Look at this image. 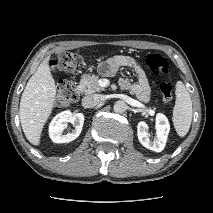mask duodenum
<instances>
[{
	"label": "duodenum",
	"mask_w": 213,
	"mask_h": 213,
	"mask_svg": "<svg viewBox=\"0 0 213 213\" xmlns=\"http://www.w3.org/2000/svg\"><path fill=\"white\" fill-rule=\"evenodd\" d=\"M79 93L81 92V89H78Z\"/></svg>",
	"instance_id": "duodenum-1"
}]
</instances>
